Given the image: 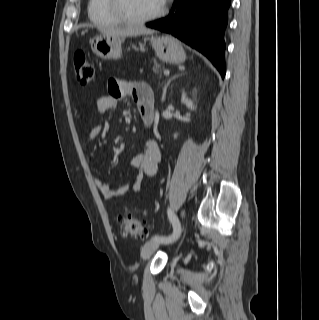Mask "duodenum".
Instances as JSON below:
<instances>
[{"mask_svg":"<svg viewBox=\"0 0 319 320\" xmlns=\"http://www.w3.org/2000/svg\"><path fill=\"white\" fill-rule=\"evenodd\" d=\"M140 116L146 125H150L154 119V110L143 109L140 111Z\"/></svg>","mask_w":319,"mask_h":320,"instance_id":"1","label":"duodenum"}]
</instances>
